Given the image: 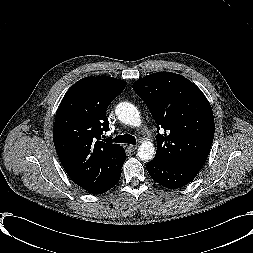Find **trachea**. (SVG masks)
<instances>
[{"label": "trachea", "mask_w": 253, "mask_h": 253, "mask_svg": "<svg viewBox=\"0 0 253 253\" xmlns=\"http://www.w3.org/2000/svg\"><path fill=\"white\" fill-rule=\"evenodd\" d=\"M113 141L116 143H128L132 145L136 144L135 137L130 134L118 135L116 138H114Z\"/></svg>", "instance_id": "1"}]
</instances>
